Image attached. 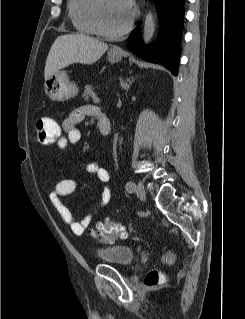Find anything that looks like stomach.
Returning a JSON list of instances; mask_svg holds the SVG:
<instances>
[{
  "mask_svg": "<svg viewBox=\"0 0 245 319\" xmlns=\"http://www.w3.org/2000/svg\"><path fill=\"white\" fill-rule=\"evenodd\" d=\"M123 57V53L108 52V60L111 63L119 62ZM44 90L46 95L53 101L63 102L78 93L75 83L70 81L66 71L59 70L52 74L44 82Z\"/></svg>",
  "mask_w": 245,
  "mask_h": 319,
  "instance_id": "obj_1",
  "label": "stomach"
}]
</instances>
